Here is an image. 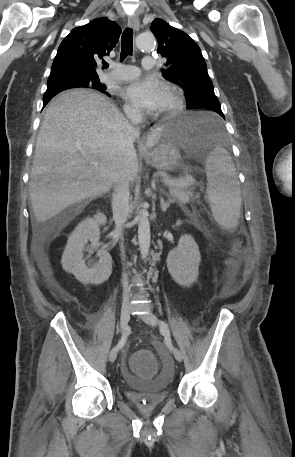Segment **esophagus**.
Masks as SVG:
<instances>
[{"instance_id":"esophagus-1","label":"esophagus","mask_w":295,"mask_h":457,"mask_svg":"<svg viewBox=\"0 0 295 457\" xmlns=\"http://www.w3.org/2000/svg\"><path fill=\"white\" fill-rule=\"evenodd\" d=\"M128 26L132 29H134L135 31H138L139 29V26H140V21H139V18L136 14H133L131 16H129L128 18ZM140 149L142 151H144V147L141 145L140 146Z\"/></svg>"}]
</instances>
